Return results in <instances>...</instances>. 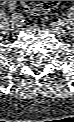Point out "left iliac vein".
<instances>
[{
    "label": "left iliac vein",
    "instance_id": "left-iliac-vein-1",
    "mask_svg": "<svg viewBox=\"0 0 74 122\" xmlns=\"http://www.w3.org/2000/svg\"><path fill=\"white\" fill-rule=\"evenodd\" d=\"M59 21L66 23L67 20H66V18H61ZM51 28H52L53 32L55 34H57L58 36H65V34H66V30L58 25H53V26H51Z\"/></svg>",
    "mask_w": 74,
    "mask_h": 122
}]
</instances>
